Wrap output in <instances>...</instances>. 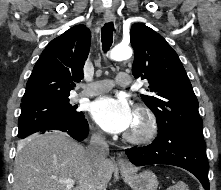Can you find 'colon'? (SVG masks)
<instances>
[{
    "instance_id": "colon-1",
    "label": "colon",
    "mask_w": 221,
    "mask_h": 190,
    "mask_svg": "<svg viewBox=\"0 0 221 190\" xmlns=\"http://www.w3.org/2000/svg\"><path fill=\"white\" fill-rule=\"evenodd\" d=\"M170 190H187V188L184 183H178L172 186Z\"/></svg>"
}]
</instances>
